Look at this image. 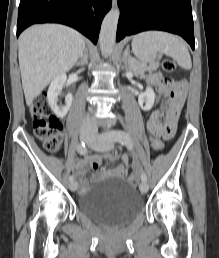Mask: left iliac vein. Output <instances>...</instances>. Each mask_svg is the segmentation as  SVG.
<instances>
[{
    "label": "left iliac vein",
    "mask_w": 219,
    "mask_h": 258,
    "mask_svg": "<svg viewBox=\"0 0 219 258\" xmlns=\"http://www.w3.org/2000/svg\"><path fill=\"white\" fill-rule=\"evenodd\" d=\"M105 132L101 135L94 134L90 140L87 141L88 146L93 149V150H98V151H106L112 148V141H109L106 139L107 135L110 133ZM139 189L140 192L145 194L148 192V184L144 181H142L139 184Z\"/></svg>",
    "instance_id": "1"
}]
</instances>
